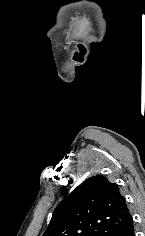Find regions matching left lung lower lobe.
<instances>
[{"label": "left lung lower lobe", "mask_w": 145, "mask_h": 236, "mask_svg": "<svg viewBox=\"0 0 145 236\" xmlns=\"http://www.w3.org/2000/svg\"><path fill=\"white\" fill-rule=\"evenodd\" d=\"M115 236H135L133 219H131L117 232Z\"/></svg>", "instance_id": "0a47b994"}]
</instances>
